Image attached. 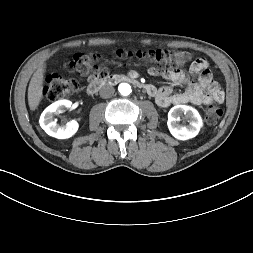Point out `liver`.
<instances>
[{"label": "liver", "instance_id": "obj_1", "mask_svg": "<svg viewBox=\"0 0 253 253\" xmlns=\"http://www.w3.org/2000/svg\"><path fill=\"white\" fill-rule=\"evenodd\" d=\"M45 65H41L33 74L28 87V105L30 110L37 109L43 98Z\"/></svg>", "mask_w": 253, "mask_h": 253}]
</instances>
